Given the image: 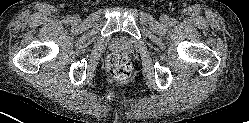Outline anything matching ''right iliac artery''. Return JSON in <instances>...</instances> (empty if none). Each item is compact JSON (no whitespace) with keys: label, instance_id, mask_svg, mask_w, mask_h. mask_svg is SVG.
<instances>
[{"label":"right iliac artery","instance_id":"82829eb1","mask_svg":"<svg viewBox=\"0 0 249 123\" xmlns=\"http://www.w3.org/2000/svg\"><path fill=\"white\" fill-rule=\"evenodd\" d=\"M71 19H72V17L71 16H67L66 18H65V22H70L71 21Z\"/></svg>","mask_w":249,"mask_h":123}]
</instances>
